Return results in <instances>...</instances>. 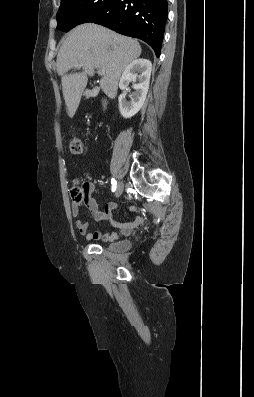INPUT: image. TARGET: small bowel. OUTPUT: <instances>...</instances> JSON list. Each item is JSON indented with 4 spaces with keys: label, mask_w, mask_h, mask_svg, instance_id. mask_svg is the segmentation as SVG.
I'll list each match as a JSON object with an SVG mask.
<instances>
[{
    "label": "small bowel",
    "mask_w": 254,
    "mask_h": 397,
    "mask_svg": "<svg viewBox=\"0 0 254 397\" xmlns=\"http://www.w3.org/2000/svg\"><path fill=\"white\" fill-rule=\"evenodd\" d=\"M94 189H95L94 185L91 183H88V187H87L88 199H87V202L85 203L86 207L90 211V213L95 221L108 222L113 227H115L117 229V231L103 233L100 230H96L93 232H89V224L86 221L76 220V222H75L76 229L87 240L112 242L122 236L129 235L134 228L138 227L142 223V219L140 217H134L131 221L125 222V223L116 221L113 218V214H112L113 210L115 209V206L113 204L106 205L105 209L103 211H101L99 209L97 201L91 196L92 193L94 192ZM129 210H130V212L135 213V212L139 211V208L136 206H131L129 208ZM71 211H72V215L74 217L78 216L79 207H78L77 203H75V202L72 203Z\"/></svg>",
    "instance_id": "1"
}]
</instances>
